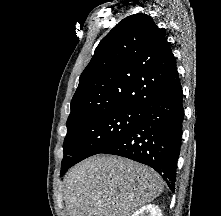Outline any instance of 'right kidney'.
Masks as SVG:
<instances>
[{
    "label": "right kidney",
    "mask_w": 221,
    "mask_h": 216,
    "mask_svg": "<svg viewBox=\"0 0 221 216\" xmlns=\"http://www.w3.org/2000/svg\"><path fill=\"white\" fill-rule=\"evenodd\" d=\"M132 216H162V213L157 205L149 204L141 207Z\"/></svg>",
    "instance_id": "right-kidney-1"
}]
</instances>
